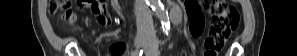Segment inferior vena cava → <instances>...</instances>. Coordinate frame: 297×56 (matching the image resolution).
<instances>
[{
    "instance_id": "602c4592",
    "label": "inferior vena cava",
    "mask_w": 297,
    "mask_h": 56,
    "mask_svg": "<svg viewBox=\"0 0 297 56\" xmlns=\"http://www.w3.org/2000/svg\"><path fill=\"white\" fill-rule=\"evenodd\" d=\"M135 16L137 27L150 35L152 39H155V31L152 28V16L145 4V0H137L135 5Z\"/></svg>"
}]
</instances>
